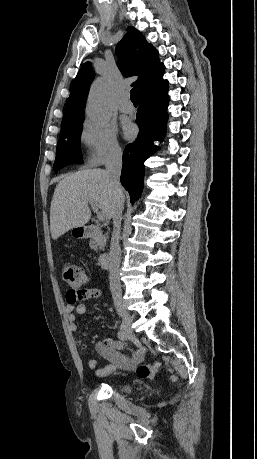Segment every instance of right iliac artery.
<instances>
[{"instance_id": "right-iliac-artery-1", "label": "right iliac artery", "mask_w": 257, "mask_h": 459, "mask_svg": "<svg viewBox=\"0 0 257 459\" xmlns=\"http://www.w3.org/2000/svg\"><path fill=\"white\" fill-rule=\"evenodd\" d=\"M118 338L121 339L122 341H126V340H127L128 334L125 332L124 329H121V330L118 332Z\"/></svg>"}]
</instances>
